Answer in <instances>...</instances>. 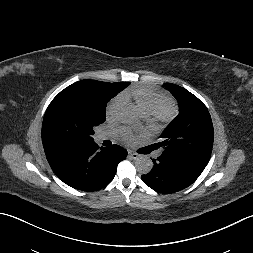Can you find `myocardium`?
<instances>
[{
    "mask_svg": "<svg viewBox=\"0 0 253 253\" xmlns=\"http://www.w3.org/2000/svg\"><path fill=\"white\" fill-rule=\"evenodd\" d=\"M178 113L177 106L171 100H165L153 114L156 121L170 123Z\"/></svg>",
    "mask_w": 253,
    "mask_h": 253,
    "instance_id": "1",
    "label": "myocardium"
}]
</instances>
